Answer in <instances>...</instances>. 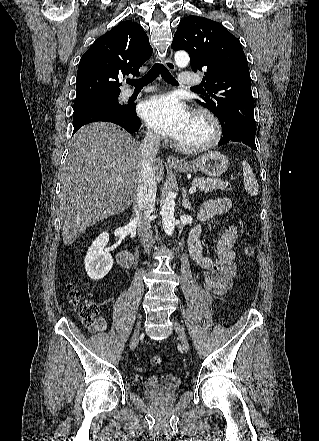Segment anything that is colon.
<instances>
[{
    "instance_id": "5ec220e1",
    "label": "colon",
    "mask_w": 319,
    "mask_h": 441,
    "mask_svg": "<svg viewBox=\"0 0 319 441\" xmlns=\"http://www.w3.org/2000/svg\"><path fill=\"white\" fill-rule=\"evenodd\" d=\"M253 235L252 230L247 231V236L251 237ZM254 253L252 246L247 245L245 247V254L247 257H251ZM69 298L72 306L76 310L79 315L82 323L85 326H92L95 321V315L98 312V306L94 303L85 301L81 299V296L78 291L74 289L73 286L69 287ZM162 362L161 357L159 356H151L149 358V364L152 367H158Z\"/></svg>"
}]
</instances>
